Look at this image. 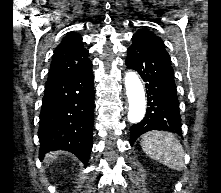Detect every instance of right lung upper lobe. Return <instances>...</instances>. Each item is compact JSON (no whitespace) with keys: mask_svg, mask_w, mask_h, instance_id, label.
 I'll use <instances>...</instances> for the list:
<instances>
[{"mask_svg":"<svg viewBox=\"0 0 221 193\" xmlns=\"http://www.w3.org/2000/svg\"><path fill=\"white\" fill-rule=\"evenodd\" d=\"M87 55L88 50L83 47L82 37L74 32L68 33L54 51L48 79L84 68L90 62Z\"/></svg>","mask_w":221,"mask_h":193,"instance_id":"right-lung-upper-lobe-1","label":"right lung upper lobe"}]
</instances>
